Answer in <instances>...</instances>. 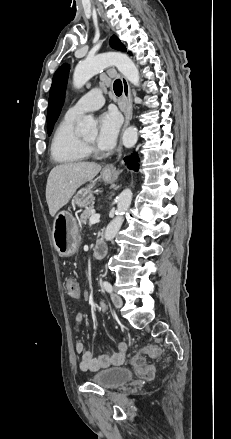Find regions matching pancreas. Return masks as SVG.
Returning a JSON list of instances; mask_svg holds the SVG:
<instances>
[{
	"label": "pancreas",
	"mask_w": 231,
	"mask_h": 439,
	"mask_svg": "<svg viewBox=\"0 0 231 439\" xmlns=\"http://www.w3.org/2000/svg\"><path fill=\"white\" fill-rule=\"evenodd\" d=\"M95 214V210L93 206L86 208L82 214L80 215V223L82 225L87 224L88 219Z\"/></svg>",
	"instance_id": "pancreas-1"
}]
</instances>
